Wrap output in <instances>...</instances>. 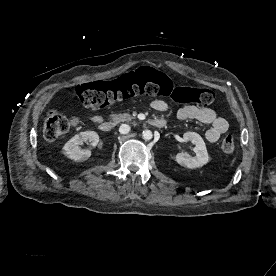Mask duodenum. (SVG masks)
<instances>
[{
    "instance_id": "1",
    "label": "duodenum",
    "mask_w": 276,
    "mask_h": 276,
    "mask_svg": "<svg viewBox=\"0 0 276 276\" xmlns=\"http://www.w3.org/2000/svg\"><path fill=\"white\" fill-rule=\"evenodd\" d=\"M148 124L156 128H162L166 125V121L164 119L154 118V119H150L148 121ZM112 128H113V124L110 121H103L99 124V129L105 133L110 132Z\"/></svg>"
}]
</instances>
